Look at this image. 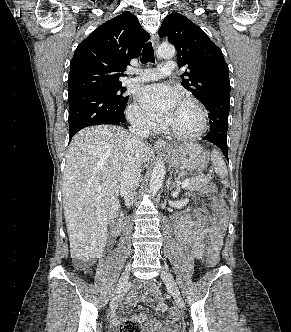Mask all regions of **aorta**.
Segmentation results:
<instances>
[{
	"mask_svg": "<svg viewBox=\"0 0 291 332\" xmlns=\"http://www.w3.org/2000/svg\"><path fill=\"white\" fill-rule=\"evenodd\" d=\"M176 53L175 47L171 44L164 43L161 44L158 48L157 54L159 57L164 59L172 58ZM165 176V164L164 161L159 158L156 160V163L153 167L150 183H149V191L150 194L155 195L162 186L163 180Z\"/></svg>",
	"mask_w": 291,
	"mask_h": 332,
	"instance_id": "1",
	"label": "aorta"
}]
</instances>
